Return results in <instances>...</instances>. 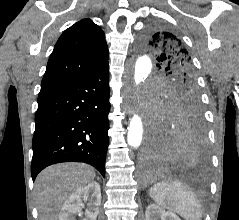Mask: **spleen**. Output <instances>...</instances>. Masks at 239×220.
Instances as JSON below:
<instances>
[{"label":"spleen","mask_w":239,"mask_h":220,"mask_svg":"<svg viewBox=\"0 0 239 220\" xmlns=\"http://www.w3.org/2000/svg\"><path fill=\"white\" fill-rule=\"evenodd\" d=\"M149 196L162 208L176 212L185 220H202L196 195L180 181H162L153 185Z\"/></svg>","instance_id":"spleen-1"}]
</instances>
